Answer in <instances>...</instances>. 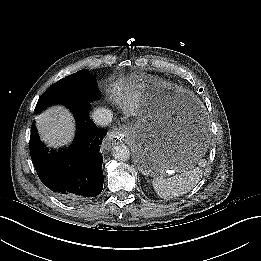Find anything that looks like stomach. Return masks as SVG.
Returning a JSON list of instances; mask_svg holds the SVG:
<instances>
[{"label":"stomach","instance_id":"stomach-1","mask_svg":"<svg viewBox=\"0 0 261 261\" xmlns=\"http://www.w3.org/2000/svg\"><path fill=\"white\" fill-rule=\"evenodd\" d=\"M191 102L189 93L171 85L151 86L142 92L140 112L126 137L144 175L188 170L204 156L203 135L193 132L185 119Z\"/></svg>","mask_w":261,"mask_h":261}]
</instances>
